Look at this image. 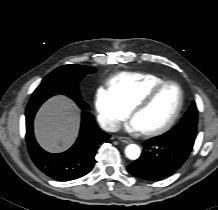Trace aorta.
I'll use <instances>...</instances> for the list:
<instances>
[{"instance_id":"aorta-1","label":"aorta","mask_w":218,"mask_h":210,"mask_svg":"<svg viewBox=\"0 0 218 210\" xmlns=\"http://www.w3.org/2000/svg\"><path fill=\"white\" fill-rule=\"evenodd\" d=\"M125 155L130 160H136L141 155V149L137 144H129L125 148Z\"/></svg>"}]
</instances>
